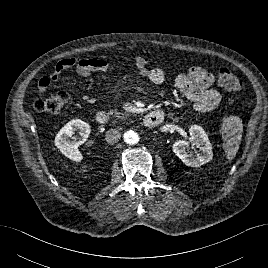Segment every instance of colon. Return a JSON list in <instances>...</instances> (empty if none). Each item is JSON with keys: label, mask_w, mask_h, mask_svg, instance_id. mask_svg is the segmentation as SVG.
<instances>
[{"label": "colon", "mask_w": 268, "mask_h": 268, "mask_svg": "<svg viewBox=\"0 0 268 268\" xmlns=\"http://www.w3.org/2000/svg\"><path fill=\"white\" fill-rule=\"evenodd\" d=\"M218 82L227 91H239L242 88L240 79L229 69L223 68L218 72ZM41 89V88H40ZM68 103V95L65 92L40 98L34 103L35 109L40 113L54 114L61 111ZM253 102L247 103V108L252 109Z\"/></svg>", "instance_id": "1"}]
</instances>
